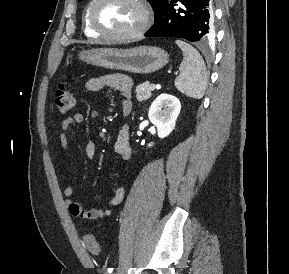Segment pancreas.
Returning a JSON list of instances; mask_svg holds the SVG:
<instances>
[{
  "instance_id": "pancreas-1",
  "label": "pancreas",
  "mask_w": 289,
  "mask_h": 274,
  "mask_svg": "<svg viewBox=\"0 0 289 274\" xmlns=\"http://www.w3.org/2000/svg\"><path fill=\"white\" fill-rule=\"evenodd\" d=\"M151 85L148 81L139 84L136 89V98L138 101H145L152 95Z\"/></svg>"
}]
</instances>
